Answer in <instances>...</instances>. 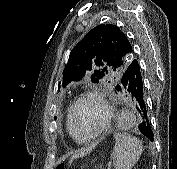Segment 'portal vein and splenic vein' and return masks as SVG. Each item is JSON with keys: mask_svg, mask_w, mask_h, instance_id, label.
<instances>
[{"mask_svg": "<svg viewBox=\"0 0 177 169\" xmlns=\"http://www.w3.org/2000/svg\"><path fill=\"white\" fill-rule=\"evenodd\" d=\"M105 169H111V163H108V165L105 167Z\"/></svg>", "mask_w": 177, "mask_h": 169, "instance_id": "obj_1", "label": "portal vein and splenic vein"}]
</instances>
